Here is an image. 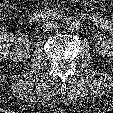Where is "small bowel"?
Masks as SVG:
<instances>
[{"label": "small bowel", "instance_id": "1", "mask_svg": "<svg viewBox=\"0 0 113 113\" xmlns=\"http://www.w3.org/2000/svg\"><path fill=\"white\" fill-rule=\"evenodd\" d=\"M87 20L91 22L95 27L110 33L113 36V21L104 17L99 13L87 14Z\"/></svg>", "mask_w": 113, "mask_h": 113}]
</instances>
